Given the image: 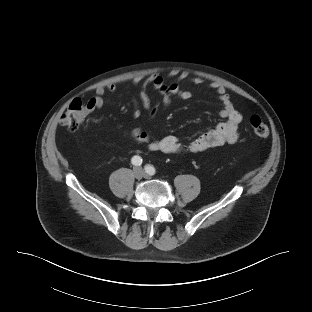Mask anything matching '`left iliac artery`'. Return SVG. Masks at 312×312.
Instances as JSON below:
<instances>
[{"label": "left iliac artery", "instance_id": "left-iliac-artery-1", "mask_svg": "<svg viewBox=\"0 0 312 312\" xmlns=\"http://www.w3.org/2000/svg\"><path fill=\"white\" fill-rule=\"evenodd\" d=\"M145 171L149 174V175H154L155 174V168L151 165H146L145 166Z\"/></svg>", "mask_w": 312, "mask_h": 312}]
</instances>
